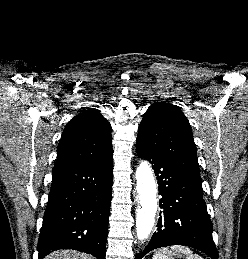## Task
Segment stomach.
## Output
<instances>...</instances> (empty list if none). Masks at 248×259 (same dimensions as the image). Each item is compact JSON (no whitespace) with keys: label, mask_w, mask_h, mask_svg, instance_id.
<instances>
[{"label":"stomach","mask_w":248,"mask_h":259,"mask_svg":"<svg viewBox=\"0 0 248 259\" xmlns=\"http://www.w3.org/2000/svg\"><path fill=\"white\" fill-rule=\"evenodd\" d=\"M168 259H187V255L181 252L173 251L170 253V256L168 257Z\"/></svg>","instance_id":"obj_1"}]
</instances>
